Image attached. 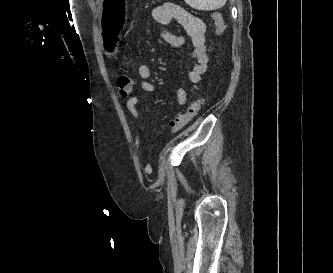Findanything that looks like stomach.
Masks as SVG:
<instances>
[{"instance_id": "1", "label": "stomach", "mask_w": 333, "mask_h": 273, "mask_svg": "<svg viewBox=\"0 0 333 273\" xmlns=\"http://www.w3.org/2000/svg\"><path fill=\"white\" fill-rule=\"evenodd\" d=\"M102 7L99 13L103 16L99 17L105 30V38H118L122 28H126V23L130 22V17L126 16L125 4L128 0H101ZM105 51H118L119 46L115 39H108L104 46Z\"/></svg>"}]
</instances>
